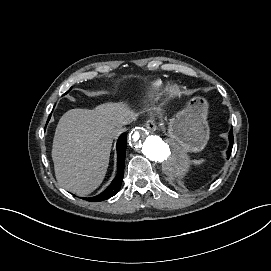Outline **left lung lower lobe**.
Returning <instances> with one entry per match:
<instances>
[{"instance_id":"left-lung-lower-lobe-1","label":"left lung lower lobe","mask_w":271,"mask_h":271,"mask_svg":"<svg viewBox=\"0 0 271 271\" xmlns=\"http://www.w3.org/2000/svg\"><path fill=\"white\" fill-rule=\"evenodd\" d=\"M229 140H230V146L227 152V158L230 157L231 155V151H232V147H233V130L231 129L229 132Z\"/></svg>"}]
</instances>
